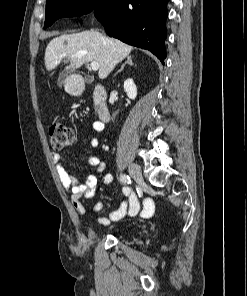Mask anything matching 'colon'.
<instances>
[{
	"label": "colon",
	"mask_w": 247,
	"mask_h": 296,
	"mask_svg": "<svg viewBox=\"0 0 247 296\" xmlns=\"http://www.w3.org/2000/svg\"><path fill=\"white\" fill-rule=\"evenodd\" d=\"M50 145L54 150H62L75 143L76 134L72 128L59 120L49 126Z\"/></svg>",
	"instance_id": "1"
}]
</instances>
